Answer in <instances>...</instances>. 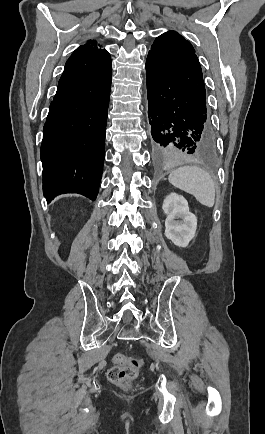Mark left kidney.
I'll return each mask as SVG.
<instances>
[{
  "label": "left kidney",
  "mask_w": 265,
  "mask_h": 434,
  "mask_svg": "<svg viewBox=\"0 0 265 434\" xmlns=\"http://www.w3.org/2000/svg\"><path fill=\"white\" fill-rule=\"evenodd\" d=\"M162 208L167 216L165 220L166 238L171 240L175 246L186 248L193 240L197 228V218L189 212L187 200L178 194H170L165 198Z\"/></svg>",
  "instance_id": "obj_1"
}]
</instances>
